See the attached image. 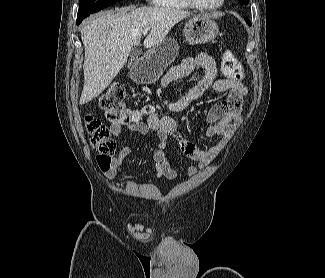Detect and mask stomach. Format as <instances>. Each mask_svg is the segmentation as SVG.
<instances>
[{"label":"stomach","mask_w":325,"mask_h":278,"mask_svg":"<svg viewBox=\"0 0 325 278\" xmlns=\"http://www.w3.org/2000/svg\"><path fill=\"white\" fill-rule=\"evenodd\" d=\"M219 35V27L210 17L197 15L189 19L184 27V36L190 44H204ZM179 46L175 39L168 37L154 46L145 60L136 66L132 79L139 84H152L163 74L178 54Z\"/></svg>","instance_id":"stomach-1"}]
</instances>
